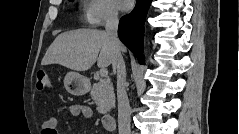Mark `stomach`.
<instances>
[{"label": "stomach", "mask_w": 239, "mask_h": 134, "mask_svg": "<svg viewBox=\"0 0 239 134\" xmlns=\"http://www.w3.org/2000/svg\"><path fill=\"white\" fill-rule=\"evenodd\" d=\"M64 86L70 94L81 96L88 92L89 81L77 72H68L64 78Z\"/></svg>", "instance_id": "1"}]
</instances>
